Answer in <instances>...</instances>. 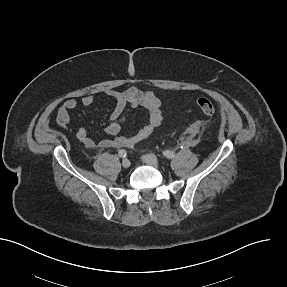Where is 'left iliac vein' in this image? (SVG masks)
<instances>
[{
	"label": "left iliac vein",
	"mask_w": 287,
	"mask_h": 287,
	"mask_svg": "<svg viewBox=\"0 0 287 287\" xmlns=\"http://www.w3.org/2000/svg\"><path fill=\"white\" fill-rule=\"evenodd\" d=\"M142 160L144 163L151 165L153 167H159L161 165L158 158L152 154L143 155Z\"/></svg>",
	"instance_id": "4c4485c4"
}]
</instances>
